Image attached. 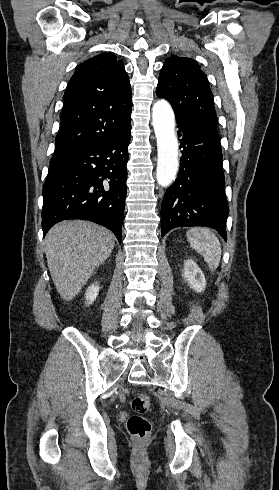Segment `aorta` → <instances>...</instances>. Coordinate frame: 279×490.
Returning a JSON list of instances; mask_svg holds the SVG:
<instances>
[{
    "instance_id": "obj_1",
    "label": "aorta",
    "mask_w": 279,
    "mask_h": 490,
    "mask_svg": "<svg viewBox=\"0 0 279 490\" xmlns=\"http://www.w3.org/2000/svg\"><path fill=\"white\" fill-rule=\"evenodd\" d=\"M152 121L157 140L158 161L156 179L162 187H168L178 171V140L175 134V115L166 100L153 105Z\"/></svg>"
}]
</instances>
